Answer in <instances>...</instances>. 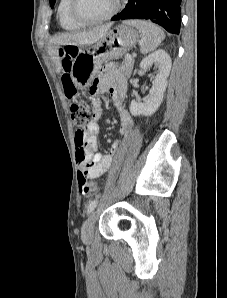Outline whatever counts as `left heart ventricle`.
Returning <instances> with one entry per match:
<instances>
[{
    "label": "left heart ventricle",
    "mask_w": 227,
    "mask_h": 298,
    "mask_svg": "<svg viewBox=\"0 0 227 298\" xmlns=\"http://www.w3.org/2000/svg\"><path fill=\"white\" fill-rule=\"evenodd\" d=\"M115 0H78L77 12L87 19L100 18L114 7Z\"/></svg>",
    "instance_id": "left-heart-ventricle-1"
}]
</instances>
